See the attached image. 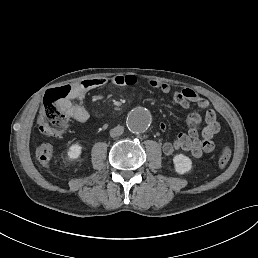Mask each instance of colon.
Wrapping results in <instances>:
<instances>
[{"instance_id": "5ec220e1", "label": "colon", "mask_w": 258, "mask_h": 258, "mask_svg": "<svg viewBox=\"0 0 258 258\" xmlns=\"http://www.w3.org/2000/svg\"><path fill=\"white\" fill-rule=\"evenodd\" d=\"M72 94L71 85H63L49 90L38 116V129L41 134L51 138L61 137L69 128V117L63 110V104ZM231 158V150L225 147L217 157V164L225 167Z\"/></svg>"}]
</instances>
